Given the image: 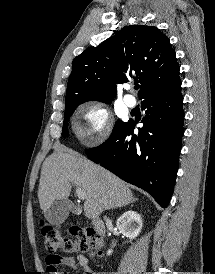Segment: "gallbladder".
<instances>
[{
    "instance_id": "bac80fb5",
    "label": "gallbladder",
    "mask_w": 215,
    "mask_h": 274,
    "mask_svg": "<svg viewBox=\"0 0 215 274\" xmlns=\"http://www.w3.org/2000/svg\"><path fill=\"white\" fill-rule=\"evenodd\" d=\"M79 208L70 200H57L45 212V219L52 225L62 224L70 212L78 213Z\"/></svg>"
}]
</instances>
